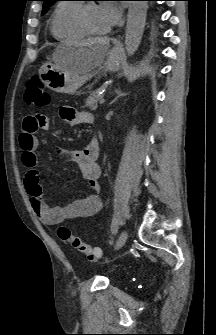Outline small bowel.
Returning a JSON list of instances; mask_svg holds the SVG:
<instances>
[{
    "mask_svg": "<svg viewBox=\"0 0 216 335\" xmlns=\"http://www.w3.org/2000/svg\"><path fill=\"white\" fill-rule=\"evenodd\" d=\"M60 116L64 121L69 122L73 126L93 121L91 114L74 111L70 106L61 107ZM48 129L49 124L45 117H43V114L33 113L32 117L24 119L22 132L19 136V146L22 151L21 159L26 168L24 185L35 213L45 225H59L66 220L96 214L102 206L99 194L97 193L99 178L101 176V167L98 163L100 152L98 140L92 138L81 150L58 149V152L66 160L75 163L80 168L84 179L89 182L94 192L83 199L75 200L65 206L51 207L43 197L36 169L38 163L36 155L38 139L36 133L40 130L46 131Z\"/></svg>",
    "mask_w": 216,
    "mask_h": 335,
    "instance_id": "1",
    "label": "small bowel"
}]
</instances>
